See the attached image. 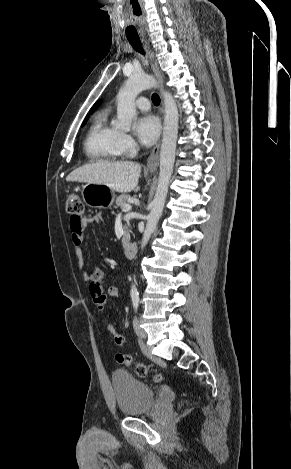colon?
<instances>
[{
    "label": "colon",
    "instance_id": "colon-1",
    "mask_svg": "<svg viewBox=\"0 0 291 469\" xmlns=\"http://www.w3.org/2000/svg\"><path fill=\"white\" fill-rule=\"evenodd\" d=\"M66 210L67 212L71 215V217L74 218H82L85 213V206L84 203L77 193H70L67 196L66 200ZM94 291L99 292V288H94ZM93 303H94V308L97 311H102L106 306H107V299L106 296L103 293H100L98 296H95L93 298ZM107 328L109 332L111 333L114 343L117 346H123L125 343V338L122 334L118 333L113 325L108 324ZM116 360L119 363L125 364V365H131L132 364V357L129 354H123V353H118L116 355ZM135 371L137 375L143 377L147 374V368L143 364H137L135 366ZM156 381H161L162 376L161 375H156L155 376Z\"/></svg>",
    "mask_w": 291,
    "mask_h": 469
}]
</instances>
